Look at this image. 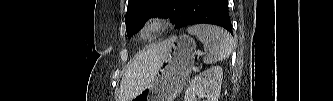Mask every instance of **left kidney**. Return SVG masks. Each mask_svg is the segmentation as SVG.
I'll list each match as a JSON object with an SVG mask.
<instances>
[{
	"instance_id": "obj_1",
	"label": "left kidney",
	"mask_w": 333,
	"mask_h": 101,
	"mask_svg": "<svg viewBox=\"0 0 333 101\" xmlns=\"http://www.w3.org/2000/svg\"><path fill=\"white\" fill-rule=\"evenodd\" d=\"M222 80V67L213 66L206 69L191 81L184 101H201L205 98L206 101H218Z\"/></svg>"
}]
</instances>
